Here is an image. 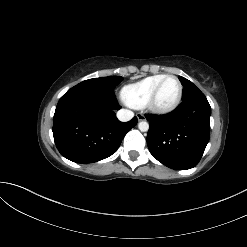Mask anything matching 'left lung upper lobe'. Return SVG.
Listing matches in <instances>:
<instances>
[{
    "instance_id": "1",
    "label": "left lung upper lobe",
    "mask_w": 247,
    "mask_h": 247,
    "mask_svg": "<svg viewBox=\"0 0 247 247\" xmlns=\"http://www.w3.org/2000/svg\"><path fill=\"white\" fill-rule=\"evenodd\" d=\"M179 80L181 84L184 86L182 101L187 100L188 98L192 97L197 93H202L191 81L188 79L179 76Z\"/></svg>"
}]
</instances>
